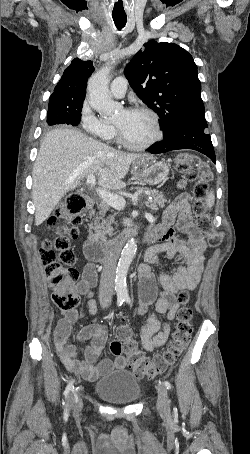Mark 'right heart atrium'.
<instances>
[{"mask_svg":"<svg viewBox=\"0 0 250 454\" xmlns=\"http://www.w3.org/2000/svg\"><path fill=\"white\" fill-rule=\"evenodd\" d=\"M80 121L82 129L86 133H90L98 137H104V135L113 128L96 116L87 100H85L82 104Z\"/></svg>","mask_w":250,"mask_h":454,"instance_id":"right-heart-atrium-1","label":"right heart atrium"}]
</instances>
